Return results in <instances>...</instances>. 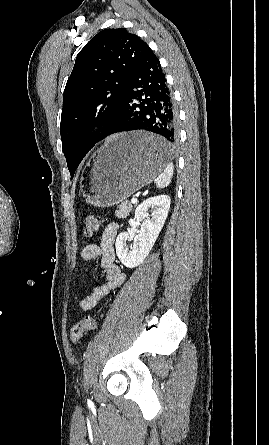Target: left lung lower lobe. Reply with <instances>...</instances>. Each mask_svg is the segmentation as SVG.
Returning a JSON list of instances; mask_svg holds the SVG:
<instances>
[{"mask_svg":"<svg viewBox=\"0 0 269 445\" xmlns=\"http://www.w3.org/2000/svg\"><path fill=\"white\" fill-rule=\"evenodd\" d=\"M145 130L158 134L171 152L178 138V115L160 62L148 46L133 71L121 101V115L102 137ZM160 145L153 146L160 150Z\"/></svg>","mask_w":269,"mask_h":445,"instance_id":"0a47b994","label":"left lung lower lobe"}]
</instances>
